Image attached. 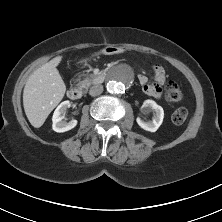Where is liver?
I'll list each match as a JSON object with an SVG mask.
<instances>
[{
    "mask_svg": "<svg viewBox=\"0 0 222 222\" xmlns=\"http://www.w3.org/2000/svg\"><path fill=\"white\" fill-rule=\"evenodd\" d=\"M62 56H57L35 70L23 90L25 114L35 128L43 125L51 111L64 97L66 86L57 70Z\"/></svg>",
    "mask_w": 222,
    "mask_h": 222,
    "instance_id": "liver-1",
    "label": "liver"
}]
</instances>
